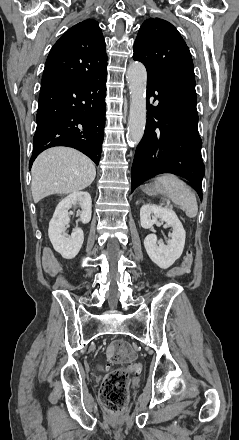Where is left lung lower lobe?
<instances>
[{
    "label": "left lung lower lobe",
    "instance_id": "left-lung-lower-lobe-1",
    "mask_svg": "<svg viewBox=\"0 0 239 440\" xmlns=\"http://www.w3.org/2000/svg\"><path fill=\"white\" fill-rule=\"evenodd\" d=\"M152 103L157 104L152 106ZM195 78L147 75V122L132 166L131 191L140 181L172 173L189 180L202 199L205 167L198 133Z\"/></svg>",
    "mask_w": 239,
    "mask_h": 440
}]
</instances>
